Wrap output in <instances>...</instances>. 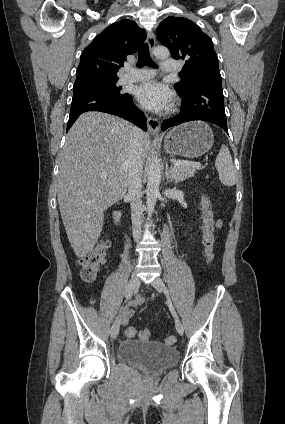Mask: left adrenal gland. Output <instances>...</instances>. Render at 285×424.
I'll return each instance as SVG.
<instances>
[{
    "label": "left adrenal gland",
    "instance_id": "left-adrenal-gland-1",
    "mask_svg": "<svg viewBox=\"0 0 285 424\" xmlns=\"http://www.w3.org/2000/svg\"><path fill=\"white\" fill-rule=\"evenodd\" d=\"M165 177H166V180L168 182L172 181V179H171V172H170V169L168 167V163L167 162H166V167H165Z\"/></svg>",
    "mask_w": 285,
    "mask_h": 424
}]
</instances>
